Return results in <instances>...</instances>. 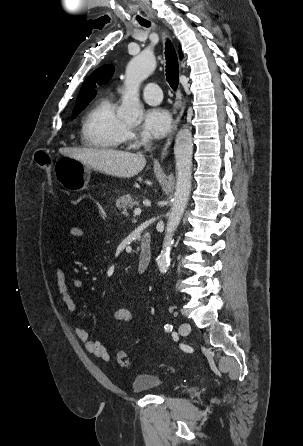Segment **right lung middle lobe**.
Masks as SVG:
<instances>
[{"instance_id":"right-lung-middle-lobe-1","label":"right lung middle lobe","mask_w":303,"mask_h":446,"mask_svg":"<svg viewBox=\"0 0 303 446\" xmlns=\"http://www.w3.org/2000/svg\"><path fill=\"white\" fill-rule=\"evenodd\" d=\"M88 104L74 108L73 118L76 117Z\"/></svg>"}]
</instances>
